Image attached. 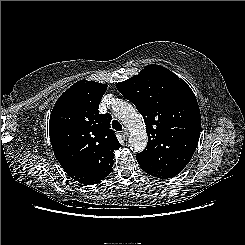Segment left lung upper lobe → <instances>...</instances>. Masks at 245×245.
<instances>
[{"label":"left lung upper lobe","mask_w":245,"mask_h":245,"mask_svg":"<svg viewBox=\"0 0 245 245\" xmlns=\"http://www.w3.org/2000/svg\"><path fill=\"white\" fill-rule=\"evenodd\" d=\"M143 116L148 143L136 155L142 170L161 179L178 175L191 160L200 137L201 117L191 88L160 65L116 84Z\"/></svg>","instance_id":"obj_1"}]
</instances>
